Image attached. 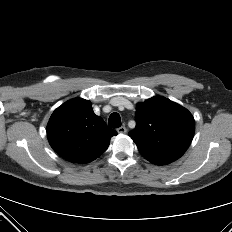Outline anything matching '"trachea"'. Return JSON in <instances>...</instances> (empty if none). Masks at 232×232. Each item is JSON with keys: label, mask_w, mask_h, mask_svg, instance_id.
Wrapping results in <instances>:
<instances>
[{"label": "trachea", "mask_w": 232, "mask_h": 232, "mask_svg": "<svg viewBox=\"0 0 232 232\" xmlns=\"http://www.w3.org/2000/svg\"><path fill=\"white\" fill-rule=\"evenodd\" d=\"M108 125L111 127V128H118L121 126V118H120V115L116 112L112 113L109 117V120H108Z\"/></svg>", "instance_id": "3493384b"}]
</instances>
